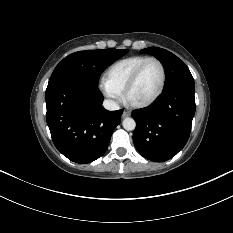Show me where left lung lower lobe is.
Listing matches in <instances>:
<instances>
[{
    "instance_id": "left-lung-lower-lobe-1",
    "label": "left lung lower lobe",
    "mask_w": 233,
    "mask_h": 233,
    "mask_svg": "<svg viewBox=\"0 0 233 233\" xmlns=\"http://www.w3.org/2000/svg\"><path fill=\"white\" fill-rule=\"evenodd\" d=\"M195 108L194 86H178L163 91L150 107L134 110L136 149L151 161L174 157L188 141Z\"/></svg>"
}]
</instances>
